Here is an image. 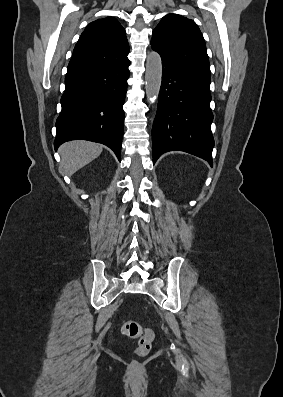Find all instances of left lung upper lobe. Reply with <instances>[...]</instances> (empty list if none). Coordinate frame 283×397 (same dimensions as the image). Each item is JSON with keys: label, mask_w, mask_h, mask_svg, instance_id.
Wrapping results in <instances>:
<instances>
[{"label": "left lung upper lobe", "mask_w": 283, "mask_h": 397, "mask_svg": "<svg viewBox=\"0 0 283 397\" xmlns=\"http://www.w3.org/2000/svg\"><path fill=\"white\" fill-rule=\"evenodd\" d=\"M151 46L161 55L210 82L206 44L193 20L177 14L164 16L153 30Z\"/></svg>", "instance_id": "1"}]
</instances>
